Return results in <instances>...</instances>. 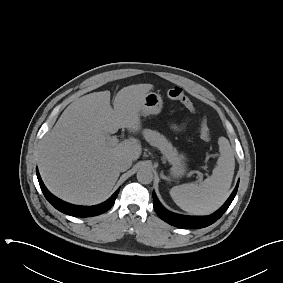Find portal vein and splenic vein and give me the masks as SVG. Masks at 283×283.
<instances>
[{"label":"portal vein and splenic vein","mask_w":283,"mask_h":283,"mask_svg":"<svg viewBox=\"0 0 283 283\" xmlns=\"http://www.w3.org/2000/svg\"><path fill=\"white\" fill-rule=\"evenodd\" d=\"M107 141L111 146H116V145L119 144V139L116 136H113L112 138H108ZM197 173L202 178V173H200V172H197ZM200 181H201V179H200Z\"/></svg>","instance_id":"18ae733b"}]
</instances>
